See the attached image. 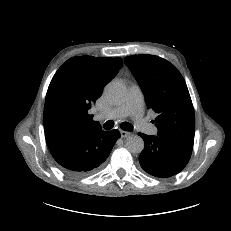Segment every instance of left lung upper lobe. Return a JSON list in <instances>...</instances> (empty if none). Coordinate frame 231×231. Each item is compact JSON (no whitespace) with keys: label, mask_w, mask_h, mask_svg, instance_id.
Segmentation results:
<instances>
[{"label":"left lung upper lobe","mask_w":231,"mask_h":231,"mask_svg":"<svg viewBox=\"0 0 231 231\" xmlns=\"http://www.w3.org/2000/svg\"><path fill=\"white\" fill-rule=\"evenodd\" d=\"M124 60L143 91L147 107L157 113L153 123L158 135L194 142V108L177 68L149 54L128 56Z\"/></svg>","instance_id":"5c2ea615"}]
</instances>
